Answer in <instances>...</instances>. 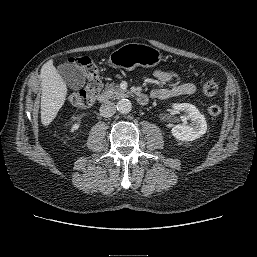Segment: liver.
<instances>
[{"label":"liver","mask_w":257,"mask_h":257,"mask_svg":"<svg viewBox=\"0 0 257 257\" xmlns=\"http://www.w3.org/2000/svg\"><path fill=\"white\" fill-rule=\"evenodd\" d=\"M40 76L42 81L41 122L47 126L63 106L66 100L67 86L52 60L43 65Z\"/></svg>","instance_id":"liver-1"}]
</instances>
